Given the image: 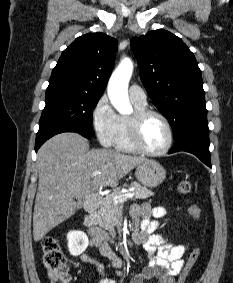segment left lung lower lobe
Returning <instances> with one entry per match:
<instances>
[{
    "mask_svg": "<svg viewBox=\"0 0 233 283\" xmlns=\"http://www.w3.org/2000/svg\"><path fill=\"white\" fill-rule=\"evenodd\" d=\"M186 151L196 155L203 163L211 167L208 132H192L176 141L169 153Z\"/></svg>",
    "mask_w": 233,
    "mask_h": 283,
    "instance_id": "left-lung-lower-lobe-1",
    "label": "left lung lower lobe"
}]
</instances>
